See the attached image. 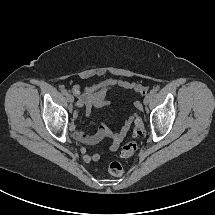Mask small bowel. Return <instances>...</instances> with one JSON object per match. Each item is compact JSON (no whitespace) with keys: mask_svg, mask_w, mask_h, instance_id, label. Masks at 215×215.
<instances>
[{"mask_svg":"<svg viewBox=\"0 0 215 215\" xmlns=\"http://www.w3.org/2000/svg\"><path fill=\"white\" fill-rule=\"evenodd\" d=\"M115 87L124 90H132L139 95H145L148 91V88L142 84H138L132 81L118 80L116 78L110 77L100 81L97 84L86 87L84 91L79 95L77 105L79 107H85L87 115H91L94 109H98L110 104V101L107 99L106 94L110 89H113ZM135 107L137 109H141L140 103L135 102ZM131 122L132 117H129L118 132H113L103 123L99 125L97 131L94 134H88L83 131L77 130L75 125H73L72 130L75 139L85 145H94L102 141L104 138H111L112 142L110 149L116 150L126 136ZM81 152L86 162L98 161L101 157L100 152L89 153L85 148H82Z\"/></svg>","mask_w":215,"mask_h":215,"instance_id":"small-bowel-1","label":"small bowel"}]
</instances>
